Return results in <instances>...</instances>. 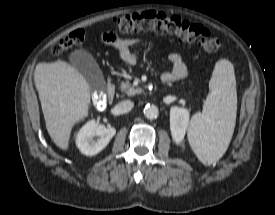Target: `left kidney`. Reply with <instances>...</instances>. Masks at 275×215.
<instances>
[{
	"instance_id": "left-kidney-1",
	"label": "left kidney",
	"mask_w": 275,
	"mask_h": 215,
	"mask_svg": "<svg viewBox=\"0 0 275 215\" xmlns=\"http://www.w3.org/2000/svg\"><path fill=\"white\" fill-rule=\"evenodd\" d=\"M189 123V111L184 108L172 107L170 110V130L176 143L182 142Z\"/></svg>"
}]
</instances>
